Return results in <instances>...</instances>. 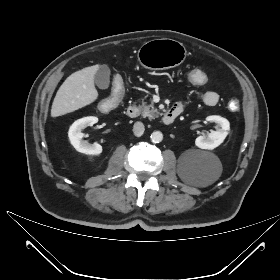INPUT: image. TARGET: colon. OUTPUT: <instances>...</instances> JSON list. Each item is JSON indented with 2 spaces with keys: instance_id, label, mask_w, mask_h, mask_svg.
<instances>
[{
  "instance_id": "1",
  "label": "colon",
  "mask_w": 280,
  "mask_h": 280,
  "mask_svg": "<svg viewBox=\"0 0 280 280\" xmlns=\"http://www.w3.org/2000/svg\"><path fill=\"white\" fill-rule=\"evenodd\" d=\"M182 77L185 82L198 87L209 86L212 81L211 75L209 73L203 72L201 69L193 67L186 68L183 71ZM110 82L113 85L112 93L109 99L103 101L101 104V110L105 112L117 105L124 95L123 79L120 75H113L110 79ZM228 106L230 110L237 111L239 110L240 104L238 100L233 99L229 102Z\"/></svg>"
}]
</instances>
